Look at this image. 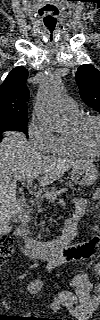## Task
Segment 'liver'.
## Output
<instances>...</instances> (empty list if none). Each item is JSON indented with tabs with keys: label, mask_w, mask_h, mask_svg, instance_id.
I'll list each match as a JSON object with an SVG mask.
<instances>
[{
	"label": "liver",
	"mask_w": 100,
	"mask_h": 320,
	"mask_svg": "<svg viewBox=\"0 0 100 320\" xmlns=\"http://www.w3.org/2000/svg\"><path fill=\"white\" fill-rule=\"evenodd\" d=\"M5 136L0 143V222L1 227L6 228L8 221L21 212V203L16 198L17 180L37 178L39 184L45 186L84 160L45 156L34 149L21 132H7ZM20 193L23 194L22 189Z\"/></svg>",
	"instance_id": "6515ba94"
}]
</instances>
